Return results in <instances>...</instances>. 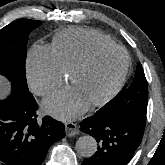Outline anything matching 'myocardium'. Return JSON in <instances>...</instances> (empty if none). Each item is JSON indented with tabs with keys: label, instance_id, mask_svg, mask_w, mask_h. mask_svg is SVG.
I'll return each mask as SVG.
<instances>
[{
	"label": "myocardium",
	"instance_id": "1",
	"mask_svg": "<svg viewBox=\"0 0 165 165\" xmlns=\"http://www.w3.org/2000/svg\"><path fill=\"white\" fill-rule=\"evenodd\" d=\"M108 50H118L123 53L124 58H125V63L124 67L116 80V82L113 84V86L110 88V90L100 99L95 100L91 103H89L90 106L92 107H99L103 106L106 103H108L122 88L129 68H130V56L128 52L120 45L118 44H107V45H98L92 48L78 63H76L73 68L69 72V79L72 82L73 77L79 73L80 71L84 70L87 68L93 60L96 58V56L103 52V51H108Z\"/></svg>",
	"mask_w": 165,
	"mask_h": 165
}]
</instances>
